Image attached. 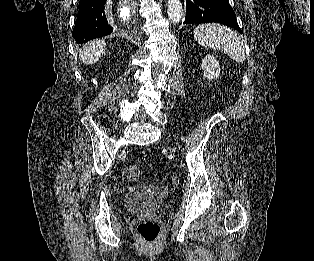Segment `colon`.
Masks as SVG:
<instances>
[{
  "mask_svg": "<svg viewBox=\"0 0 314 261\" xmlns=\"http://www.w3.org/2000/svg\"><path fill=\"white\" fill-rule=\"evenodd\" d=\"M141 174V169L136 165L124 168L122 177L127 182L135 181ZM136 231L145 242H154L161 231L160 224L154 220H143L137 225Z\"/></svg>",
  "mask_w": 314,
  "mask_h": 261,
  "instance_id": "1",
  "label": "colon"
}]
</instances>
